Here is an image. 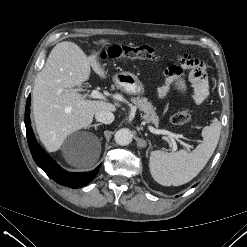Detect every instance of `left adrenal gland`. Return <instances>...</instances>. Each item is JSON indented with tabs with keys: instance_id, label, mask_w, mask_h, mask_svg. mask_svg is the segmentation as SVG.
I'll return each mask as SVG.
<instances>
[{
	"instance_id": "1",
	"label": "left adrenal gland",
	"mask_w": 247,
	"mask_h": 247,
	"mask_svg": "<svg viewBox=\"0 0 247 247\" xmlns=\"http://www.w3.org/2000/svg\"><path fill=\"white\" fill-rule=\"evenodd\" d=\"M148 144H149V148H148L147 151H146V156H148V151H149L150 148H151V142H150V140H148Z\"/></svg>"
}]
</instances>
